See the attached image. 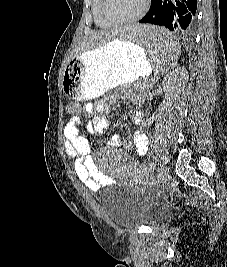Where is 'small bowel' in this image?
Segmentation results:
<instances>
[{
    "instance_id": "small-bowel-1",
    "label": "small bowel",
    "mask_w": 227,
    "mask_h": 267,
    "mask_svg": "<svg viewBox=\"0 0 227 267\" xmlns=\"http://www.w3.org/2000/svg\"><path fill=\"white\" fill-rule=\"evenodd\" d=\"M106 111L105 105L85 103L81 112L77 116H71L64 126V146L66 153L74 160V168L79 180L89 189L97 191L102 186L110 182L111 178L99 171L93 159L90 157V148L88 140L79 133V126L83 120H87L86 128L89 132L96 135L106 133L109 127L108 119L101 115ZM132 118L136 126L127 143L134 147L139 156L146 154L148 149V138L139 129L142 123V113L139 110L132 111ZM121 137L114 135L110 144L118 147L121 143Z\"/></svg>"
}]
</instances>
